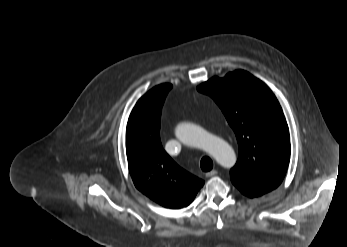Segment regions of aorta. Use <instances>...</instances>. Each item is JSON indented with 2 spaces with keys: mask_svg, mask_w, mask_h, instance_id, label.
Instances as JSON below:
<instances>
[{
  "mask_svg": "<svg viewBox=\"0 0 347 247\" xmlns=\"http://www.w3.org/2000/svg\"><path fill=\"white\" fill-rule=\"evenodd\" d=\"M175 135L183 144L203 149L225 168H231L237 161L233 148L226 141L198 125L180 123L176 127Z\"/></svg>",
  "mask_w": 347,
  "mask_h": 247,
  "instance_id": "762f6f07",
  "label": "aorta"
}]
</instances>
